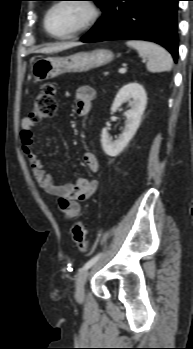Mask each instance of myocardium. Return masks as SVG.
<instances>
[{
  "label": "myocardium",
  "instance_id": "obj_1",
  "mask_svg": "<svg viewBox=\"0 0 193 349\" xmlns=\"http://www.w3.org/2000/svg\"><path fill=\"white\" fill-rule=\"evenodd\" d=\"M68 2L83 3L89 9L90 16L83 25H81L80 27H78L74 31H72L68 34H65V35H56V34L52 33L48 27L49 15L57 6L64 4V3H68ZM100 16H101V9H100L99 5L94 0H58V1L54 2L47 9V11L44 15L43 24H44V28H45L46 32L52 38L58 39V40H67V39L75 38V37L81 35L82 33H84L85 31H87L89 28H91L98 21Z\"/></svg>",
  "mask_w": 193,
  "mask_h": 349
}]
</instances>
